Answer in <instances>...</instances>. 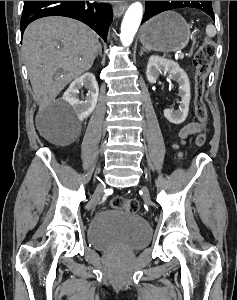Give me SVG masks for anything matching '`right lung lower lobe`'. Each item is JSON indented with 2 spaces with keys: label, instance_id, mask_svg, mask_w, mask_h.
Listing matches in <instances>:
<instances>
[{
  "label": "right lung lower lobe",
  "instance_id": "obj_1",
  "mask_svg": "<svg viewBox=\"0 0 237 300\" xmlns=\"http://www.w3.org/2000/svg\"><path fill=\"white\" fill-rule=\"evenodd\" d=\"M46 16H66L82 21L106 42L113 12L109 4L89 1H24L21 34L32 21Z\"/></svg>",
  "mask_w": 237,
  "mask_h": 300
}]
</instances>
